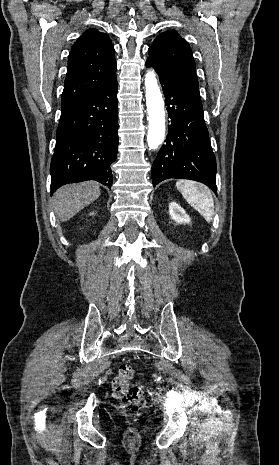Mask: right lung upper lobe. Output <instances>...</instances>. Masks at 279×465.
Segmentation results:
<instances>
[{
	"mask_svg": "<svg viewBox=\"0 0 279 465\" xmlns=\"http://www.w3.org/2000/svg\"><path fill=\"white\" fill-rule=\"evenodd\" d=\"M114 47L97 29L85 31L69 54L61 114L88 99L116 75Z\"/></svg>",
	"mask_w": 279,
	"mask_h": 465,
	"instance_id": "right-lung-upper-lobe-1",
	"label": "right lung upper lobe"
}]
</instances>
